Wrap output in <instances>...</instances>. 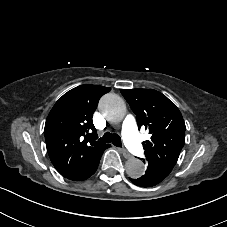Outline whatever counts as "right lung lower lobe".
I'll return each instance as SVG.
<instances>
[{
    "label": "right lung lower lobe",
    "mask_w": 227,
    "mask_h": 227,
    "mask_svg": "<svg viewBox=\"0 0 227 227\" xmlns=\"http://www.w3.org/2000/svg\"><path fill=\"white\" fill-rule=\"evenodd\" d=\"M104 150L92 156H88L86 163L80 168H76V165H72L68 167H55V168L62 176L68 179L75 180V181L86 180L87 178L92 176L97 170L99 161L101 159V156Z\"/></svg>",
    "instance_id": "right-lung-lower-lobe-1"
}]
</instances>
